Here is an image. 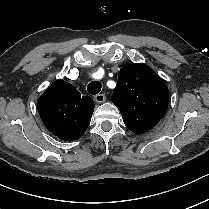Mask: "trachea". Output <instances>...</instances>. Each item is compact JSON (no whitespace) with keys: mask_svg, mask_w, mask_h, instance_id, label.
Listing matches in <instances>:
<instances>
[{"mask_svg":"<svg viewBox=\"0 0 209 209\" xmlns=\"http://www.w3.org/2000/svg\"><path fill=\"white\" fill-rule=\"evenodd\" d=\"M102 84L99 81H91L87 86L89 94L96 95L101 91Z\"/></svg>","mask_w":209,"mask_h":209,"instance_id":"trachea-1","label":"trachea"}]
</instances>
